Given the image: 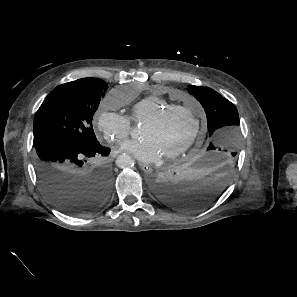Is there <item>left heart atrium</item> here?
Wrapping results in <instances>:
<instances>
[{
  "label": "left heart atrium",
  "instance_id": "left-heart-atrium-1",
  "mask_svg": "<svg viewBox=\"0 0 297 297\" xmlns=\"http://www.w3.org/2000/svg\"><path fill=\"white\" fill-rule=\"evenodd\" d=\"M121 150L143 163L157 162L163 156L157 144L150 138L126 141L121 145Z\"/></svg>",
  "mask_w": 297,
  "mask_h": 297
}]
</instances>
